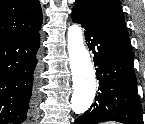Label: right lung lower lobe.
<instances>
[{
    "instance_id": "98d812e1",
    "label": "right lung lower lobe",
    "mask_w": 145,
    "mask_h": 124,
    "mask_svg": "<svg viewBox=\"0 0 145 124\" xmlns=\"http://www.w3.org/2000/svg\"><path fill=\"white\" fill-rule=\"evenodd\" d=\"M40 32L0 39V124H22L38 102Z\"/></svg>"
}]
</instances>
